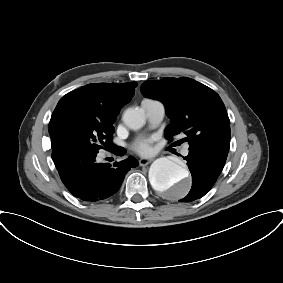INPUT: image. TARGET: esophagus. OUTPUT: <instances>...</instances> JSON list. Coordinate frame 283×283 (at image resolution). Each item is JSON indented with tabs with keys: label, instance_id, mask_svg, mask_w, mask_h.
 I'll use <instances>...</instances> for the list:
<instances>
[{
	"label": "esophagus",
	"instance_id": "esophagus-1",
	"mask_svg": "<svg viewBox=\"0 0 283 283\" xmlns=\"http://www.w3.org/2000/svg\"><path fill=\"white\" fill-rule=\"evenodd\" d=\"M152 162L151 159H140L139 160V165L140 166H147L148 164H150Z\"/></svg>",
	"mask_w": 283,
	"mask_h": 283
}]
</instances>
